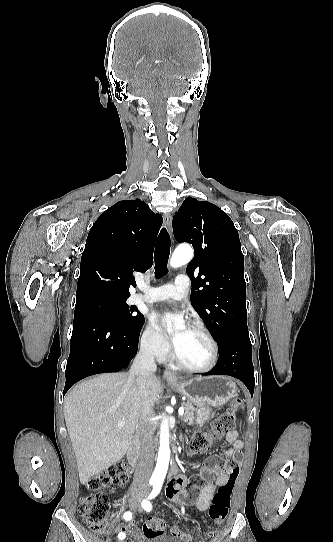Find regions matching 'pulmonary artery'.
Segmentation results:
<instances>
[{
    "label": "pulmonary artery",
    "mask_w": 333,
    "mask_h": 542,
    "mask_svg": "<svg viewBox=\"0 0 333 542\" xmlns=\"http://www.w3.org/2000/svg\"><path fill=\"white\" fill-rule=\"evenodd\" d=\"M175 286L172 282L162 286H154L153 292L151 286L145 287V292L148 293V298L152 302H178L186 299L188 295L189 284L185 274L178 273L174 277ZM140 291V290H138Z\"/></svg>",
    "instance_id": "pulmonary-artery-1"
}]
</instances>
